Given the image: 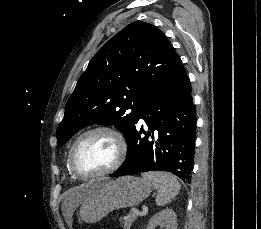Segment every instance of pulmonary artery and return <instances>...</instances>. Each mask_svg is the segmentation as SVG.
<instances>
[{"label": "pulmonary artery", "instance_id": "e3ab8cb5", "mask_svg": "<svg viewBox=\"0 0 261 229\" xmlns=\"http://www.w3.org/2000/svg\"><path fill=\"white\" fill-rule=\"evenodd\" d=\"M143 123H144L143 118H140V119H139V124H143Z\"/></svg>", "mask_w": 261, "mask_h": 229}]
</instances>
